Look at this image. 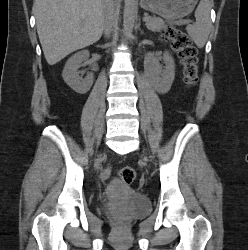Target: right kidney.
Segmentation results:
<instances>
[{"instance_id": "obj_1", "label": "right kidney", "mask_w": 248, "mask_h": 250, "mask_svg": "<svg viewBox=\"0 0 248 250\" xmlns=\"http://www.w3.org/2000/svg\"><path fill=\"white\" fill-rule=\"evenodd\" d=\"M88 58V50L80 51L68 59L63 69L62 77L65 83L79 94H85L89 91L94 81L93 73H89L84 79L79 76L78 69Z\"/></svg>"}]
</instances>
